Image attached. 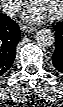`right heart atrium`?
<instances>
[{"mask_svg": "<svg viewBox=\"0 0 63 107\" xmlns=\"http://www.w3.org/2000/svg\"><path fill=\"white\" fill-rule=\"evenodd\" d=\"M21 4H22L21 0H8L6 2V7L9 10V12L14 13V12L18 11Z\"/></svg>", "mask_w": 63, "mask_h": 107, "instance_id": "obj_1", "label": "right heart atrium"}]
</instances>
